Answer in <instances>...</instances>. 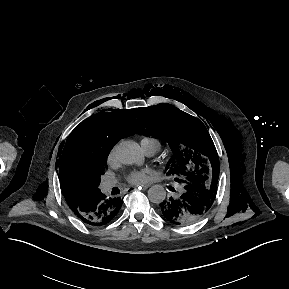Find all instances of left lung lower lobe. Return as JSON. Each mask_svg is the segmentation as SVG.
I'll use <instances>...</instances> for the list:
<instances>
[{
  "instance_id": "1",
  "label": "left lung lower lobe",
  "mask_w": 289,
  "mask_h": 289,
  "mask_svg": "<svg viewBox=\"0 0 289 289\" xmlns=\"http://www.w3.org/2000/svg\"><path fill=\"white\" fill-rule=\"evenodd\" d=\"M217 182L205 184L203 180H193L184 184L178 197L170 198L160 204L164 217L178 225L195 223L212 206L216 196Z\"/></svg>"
}]
</instances>
